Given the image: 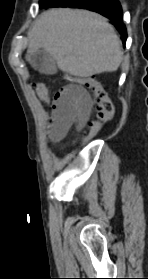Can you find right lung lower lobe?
I'll return each instance as SVG.
<instances>
[{
	"label": "right lung lower lobe",
	"mask_w": 148,
	"mask_h": 279,
	"mask_svg": "<svg viewBox=\"0 0 148 279\" xmlns=\"http://www.w3.org/2000/svg\"><path fill=\"white\" fill-rule=\"evenodd\" d=\"M71 7L91 10L109 18L121 34L123 44L127 39V31L122 20V8L118 0H50L45 8Z\"/></svg>",
	"instance_id": "obj_1"
}]
</instances>
